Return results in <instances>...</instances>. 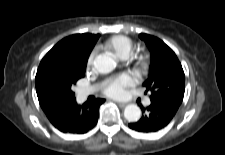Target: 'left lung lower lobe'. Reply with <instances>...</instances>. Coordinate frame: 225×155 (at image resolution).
I'll return each mask as SVG.
<instances>
[{
  "mask_svg": "<svg viewBox=\"0 0 225 155\" xmlns=\"http://www.w3.org/2000/svg\"><path fill=\"white\" fill-rule=\"evenodd\" d=\"M179 106V103L172 101H151L147 108L141 107L144 113L142 118L130 123L129 127L139 132H156L170 123Z\"/></svg>",
  "mask_w": 225,
  "mask_h": 155,
  "instance_id": "1",
  "label": "left lung lower lobe"
}]
</instances>
